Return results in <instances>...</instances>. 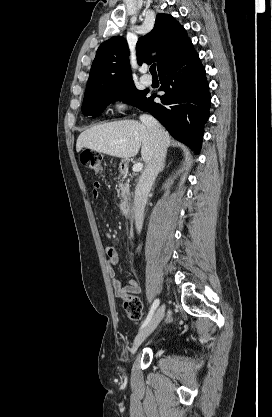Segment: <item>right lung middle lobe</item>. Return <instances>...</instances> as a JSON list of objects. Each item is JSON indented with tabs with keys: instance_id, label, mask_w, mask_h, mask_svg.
<instances>
[{
	"instance_id": "dd1d6c3e",
	"label": "right lung middle lobe",
	"mask_w": 272,
	"mask_h": 417,
	"mask_svg": "<svg viewBox=\"0 0 272 417\" xmlns=\"http://www.w3.org/2000/svg\"><path fill=\"white\" fill-rule=\"evenodd\" d=\"M147 90L139 91L134 84L126 87L102 90L95 93L85 94L82 112L85 116H99L108 104L116 99L125 100L128 104L140 108L147 99Z\"/></svg>"
}]
</instances>
